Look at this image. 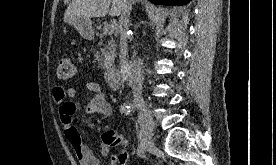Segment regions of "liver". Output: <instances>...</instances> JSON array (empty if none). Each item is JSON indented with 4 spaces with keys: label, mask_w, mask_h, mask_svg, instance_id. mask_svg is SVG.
<instances>
[{
    "label": "liver",
    "mask_w": 276,
    "mask_h": 165,
    "mask_svg": "<svg viewBox=\"0 0 276 165\" xmlns=\"http://www.w3.org/2000/svg\"><path fill=\"white\" fill-rule=\"evenodd\" d=\"M122 5L123 0H72L65 11L64 22L76 17L91 19L105 17L107 14L119 16Z\"/></svg>",
    "instance_id": "6515ba94"
}]
</instances>
